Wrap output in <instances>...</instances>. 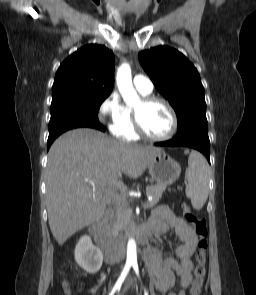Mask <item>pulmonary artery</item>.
I'll use <instances>...</instances> for the list:
<instances>
[{"label":"pulmonary artery","mask_w":256,"mask_h":295,"mask_svg":"<svg viewBox=\"0 0 256 295\" xmlns=\"http://www.w3.org/2000/svg\"><path fill=\"white\" fill-rule=\"evenodd\" d=\"M133 84L135 88L143 94H149L153 90L152 81L144 75H136L133 79Z\"/></svg>","instance_id":"e3ab8cb5"}]
</instances>
